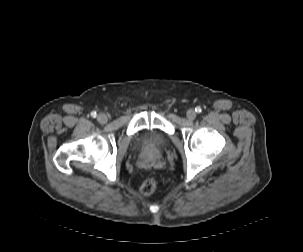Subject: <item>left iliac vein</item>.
<instances>
[{
    "label": "left iliac vein",
    "instance_id": "left-iliac-vein-1",
    "mask_svg": "<svg viewBox=\"0 0 303 252\" xmlns=\"http://www.w3.org/2000/svg\"><path fill=\"white\" fill-rule=\"evenodd\" d=\"M187 118L189 119V120H194L195 118H196V112L194 111V110H189L188 112H187Z\"/></svg>",
    "mask_w": 303,
    "mask_h": 252
}]
</instances>
